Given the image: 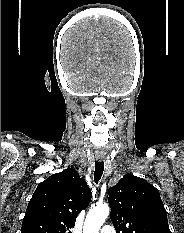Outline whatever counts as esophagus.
I'll return each instance as SVG.
<instances>
[{
  "instance_id": "esophagus-1",
  "label": "esophagus",
  "mask_w": 184,
  "mask_h": 233,
  "mask_svg": "<svg viewBox=\"0 0 184 233\" xmlns=\"http://www.w3.org/2000/svg\"><path fill=\"white\" fill-rule=\"evenodd\" d=\"M97 159H98V160H101L102 158L98 157Z\"/></svg>"
}]
</instances>
